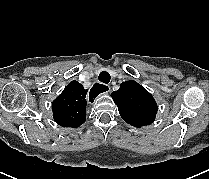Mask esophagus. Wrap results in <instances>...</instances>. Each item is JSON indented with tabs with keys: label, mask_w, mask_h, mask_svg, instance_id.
I'll return each mask as SVG.
<instances>
[{
	"label": "esophagus",
	"mask_w": 209,
	"mask_h": 179,
	"mask_svg": "<svg viewBox=\"0 0 209 179\" xmlns=\"http://www.w3.org/2000/svg\"><path fill=\"white\" fill-rule=\"evenodd\" d=\"M109 93L110 92V86L109 85H101L99 83H95L93 87L90 90V95L92 97H96L100 93Z\"/></svg>",
	"instance_id": "34e87169"
}]
</instances>
